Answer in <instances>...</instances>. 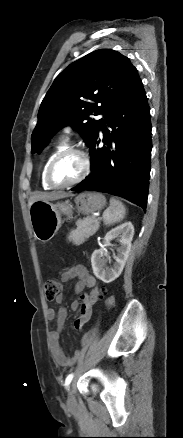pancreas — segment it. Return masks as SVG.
<instances>
[{
    "mask_svg": "<svg viewBox=\"0 0 183 438\" xmlns=\"http://www.w3.org/2000/svg\"><path fill=\"white\" fill-rule=\"evenodd\" d=\"M99 223V219L93 216L79 219L76 223L77 229L71 231L68 240L77 246L83 244L90 236L97 232Z\"/></svg>",
    "mask_w": 183,
    "mask_h": 438,
    "instance_id": "pancreas-1",
    "label": "pancreas"
}]
</instances>
